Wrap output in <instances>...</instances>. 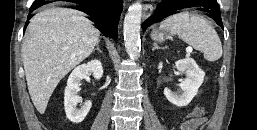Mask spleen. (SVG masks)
Wrapping results in <instances>:
<instances>
[{
	"label": "spleen",
	"instance_id": "1",
	"mask_svg": "<svg viewBox=\"0 0 257 130\" xmlns=\"http://www.w3.org/2000/svg\"><path fill=\"white\" fill-rule=\"evenodd\" d=\"M160 29L177 35L194 49L203 52L204 58L215 62L222 56L220 38L208 20L194 12H180L166 18Z\"/></svg>",
	"mask_w": 257,
	"mask_h": 130
}]
</instances>
